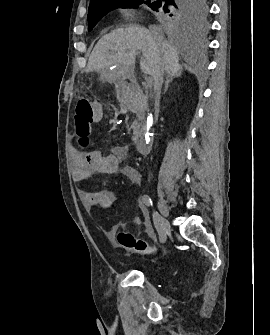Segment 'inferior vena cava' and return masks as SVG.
I'll use <instances>...</instances> for the list:
<instances>
[{
	"instance_id": "inferior-vena-cava-1",
	"label": "inferior vena cava",
	"mask_w": 270,
	"mask_h": 335,
	"mask_svg": "<svg viewBox=\"0 0 270 335\" xmlns=\"http://www.w3.org/2000/svg\"><path fill=\"white\" fill-rule=\"evenodd\" d=\"M149 30L153 38H155V40H158V38H162V34H160V28H158V26H149ZM153 78H154L155 106H159L161 88L163 84V72H158V74H154Z\"/></svg>"
}]
</instances>
